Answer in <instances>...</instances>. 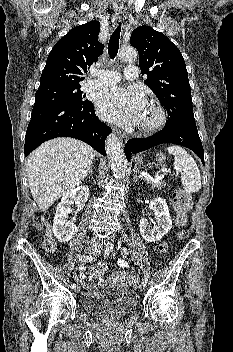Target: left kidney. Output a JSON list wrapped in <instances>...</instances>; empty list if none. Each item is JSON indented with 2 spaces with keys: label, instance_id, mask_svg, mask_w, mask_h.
<instances>
[{
  "label": "left kidney",
  "instance_id": "5707ae66",
  "mask_svg": "<svg viewBox=\"0 0 233 352\" xmlns=\"http://www.w3.org/2000/svg\"><path fill=\"white\" fill-rule=\"evenodd\" d=\"M151 208L157 223L152 228L145 218H141L139 223L140 233L144 240L149 243L159 241L172 227L168 205L164 199L154 198L151 202Z\"/></svg>",
  "mask_w": 233,
  "mask_h": 352
}]
</instances>
